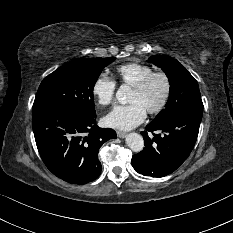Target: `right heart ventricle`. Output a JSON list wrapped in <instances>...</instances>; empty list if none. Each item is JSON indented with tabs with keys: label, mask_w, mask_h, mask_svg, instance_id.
<instances>
[{
	"label": "right heart ventricle",
	"mask_w": 233,
	"mask_h": 233,
	"mask_svg": "<svg viewBox=\"0 0 233 233\" xmlns=\"http://www.w3.org/2000/svg\"><path fill=\"white\" fill-rule=\"evenodd\" d=\"M152 72H154V69L151 66L137 62L126 63L116 69V75L120 83L130 87L138 84Z\"/></svg>",
	"instance_id": "1"
}]
</instances>
